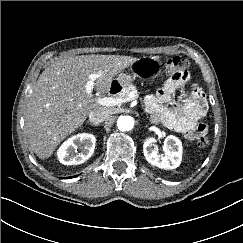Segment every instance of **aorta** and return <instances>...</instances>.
<instances>
[{"instance_id":"aorta-1","label":"aorta","mask_w":243,"mask_h":243,"mask_svg":"<svg viewBox=\"0 0 243 243\" xmlns=\"http://www.w3.org/2000/svg\"><path fill=\"white\" fill-rule=\"evenodd\" d=\"M134 126V119L131 116H120L117 120V127L120 131H129Z\"/></svg>"}]
</instances>
